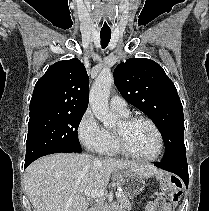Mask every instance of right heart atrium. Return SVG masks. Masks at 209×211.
I'll list each match as a JSON object with an SVG mask.
<instances>
[{
  "label": "right heart atrium",
  "instance_id": "right-heart-atrium-1",
  "mask_svg": "<svg viewBox=\"0 0 209 211\" xmlns=\"http://www.w3.org/2000/svg\"><path fill=\"white\" fill-rule=\"evenodd\" d=\"M77 134L81 144L90 151H99L106 140V129L98 122L90 109L81 116Z\"/></svg>",
  "mask_w": 209,
  "mask_h": 211
}]
</instances>
